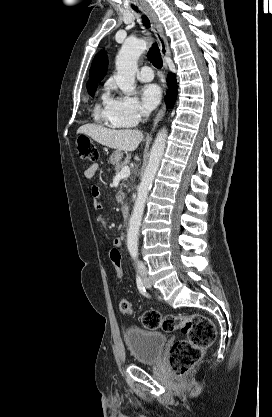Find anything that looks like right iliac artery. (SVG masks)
Instances as JSON below:
<instances>
[{
    "instance_id": "82829eb1",
    "label": "right iliac artery",
    "mask_w": 272,
    "mask_h": 417,
    "mask_svg": "<svg viewBox=\"0 0 272 417\" xmlns=\"http://www.w3.org/2000/svg\"><path fill=\"white\" fill-rule=\"evenodd\" d=\"M136 284L138 287V290L140 291V293L146 297H148L149 295L146 293V289L144 287L143 281L141 279V277L139 275L136 276Z\"/></svg>"
}]
</instances>
